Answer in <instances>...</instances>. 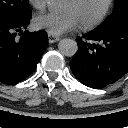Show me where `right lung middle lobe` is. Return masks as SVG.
Masks as SVG:
<instances>
[{
    "label": "right lung middle lobe",
    "instance_id": "right-lung-middle-lobe-1",
    "mask_svg": "<svg viewBox=\"0 0 128 128\" xmlns=\"http://www.w3.org/2000/svg\"><path fill=\"white\" fill-rule=\"evenodd\" d=\"M30 18L28 0H0V22L21 23Z\"/></svg>",
    "mask_w": 128,
    "mask_h": 128
}]
</instances>
